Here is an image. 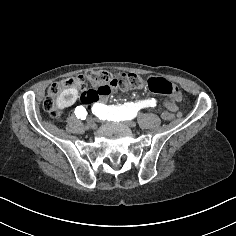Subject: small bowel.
<instances>
[{
	"label": "small bowel",
	"instance_id": "small-bowel-1",
	"mask_svg": "<svg viewBox=\"0 0 236 236\" xmlns=\"http://www.w3.org/2000/svg\"><path fill=\"white\" fill-rule=\"evenodd\" d=\"M178 100V99H177ZM177 100H169L166 102V107L169 109V110H175L177 108V104H176V101ZM149 101V105L148 107L151 108V109H156L157 106H158V101L157 99L155 98H150L148 99Z\"/></svg>",
	"mask_w": 236,
	"mask_h": 236
}]
</instances>
